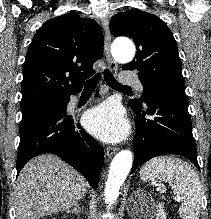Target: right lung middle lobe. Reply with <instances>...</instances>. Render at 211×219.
I'll list each match as a JSON object with an SVG mask.
<instances>
[{"instance_id": "obj_1", "label": "right lung middle lobe", "mask_w": 211, "mask_h": 219, "mask_svg": "<svg viewBox=\"0 0 211 219\" xmlns=\"http://www.w3.org/2000/svg\"><path fill=\"white\" fill-rule=\"evenodd\" d=\"M64 102L65 100H49L21 105L22 117H26L30 114H33L46 108L57 106Z\"/></svg>"}]
</instances>
